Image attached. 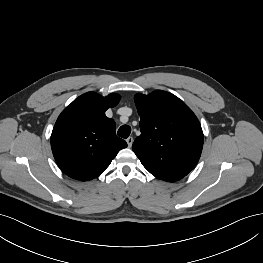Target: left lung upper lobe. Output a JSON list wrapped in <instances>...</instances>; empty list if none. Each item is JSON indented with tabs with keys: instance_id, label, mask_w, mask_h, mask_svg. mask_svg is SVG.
I'll return each mask as SVG.
<instances>
[{
	"instance_id": "obj_1",
	"label": "left lung upper lobe",
	"mask_w": 263,
	"mask_h": 263,
	"mask_svg": "<svg viewBox=\"0 0 263 263\" xmlns=\"http://www.w3.org/2000/svg\"><path fill=\"white\" fill-rule=\"evenodd\" d=\"M141 135L132 150L155 177L168 169L187 175L199 161L203 147L201 125L191 109L175 95L155 90L136 94Z\"/></svg>"
}]
</instances>
